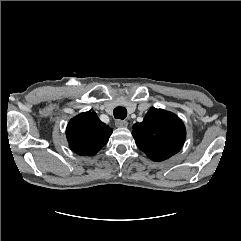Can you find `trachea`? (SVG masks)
I'll return each instance as SVG.
<instances>
[{"label": "trachea", "instance_id": "obj_1", "mask_svg": "<svg viewBox=\"0 0 241 241\" xmlns=\"http://www.w3.org/2000/svg\"><path fill=\"white\" fill-rule=\"evenodd\" d=\"M113 114L116 119L124 120L127 116V109L125 107H116Z\"/></svg>", "mask_w": 241, "mask_h": 241}]
</instances>
